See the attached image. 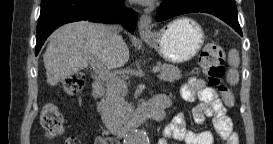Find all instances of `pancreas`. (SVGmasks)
<instances>
[{"instance_id":"1","label":"pancreas","mask_w":273,"mask_h":144,"mask_svg":"<svg viewBox=\"0 0 273 144\" xmlns=\"http://www.w3.org/2000/svg\"><path fill=\"white\" fill-rule=\"evenodd\" d=\"M161 72L160 79L173 82L181 78L180 69L172 64L157 63ZM127 90L107 86L106 98L102 102L101 118L107 129L121 126L131 115L132 106L125 100Z\"/></svg>"}]
</instances>
